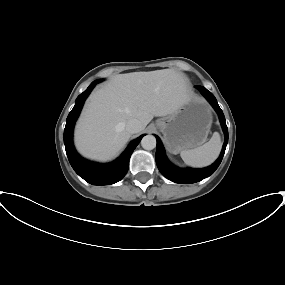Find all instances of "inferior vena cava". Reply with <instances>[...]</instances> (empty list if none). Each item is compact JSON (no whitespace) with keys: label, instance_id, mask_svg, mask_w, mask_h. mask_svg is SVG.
<instances>
[{"label":"inferior vena cava","instance_id":"1","mask_svg":"<svg viewBox=\"0 0 285 285\" xmlns=\"http://www.w3.org/2000/svg\"><path fill=\"white\" fill-rule=\"evenodd\" d=\"M126 130L130 134L138 133L141 131V123L137 119H131L126 124Z\"/></svg>","mask_w":285,"mask_h":285}]
</instances>
